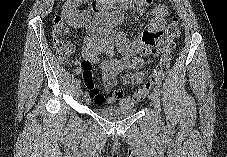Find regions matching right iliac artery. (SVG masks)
I'll list each match as a JSON object with an SVG mask.
<instances>
[{
    "mask_svg": "<svg viewBox=\"0 0 227 157\" xmlns=\"http://www.w3.org/2000/svg\"><path fill=\"white\" fill-rule=\"evenodd\" d=\"M80 83H81V81H80L79 79H76V80H75V85H76V86L80 85Z\"/></svg>",
    "mask_w": 227,
    "mask_h": 157,
    "instance_id": "right-iliac-artery-1",
    "label": "right iliac artery"
}]
</instances>
